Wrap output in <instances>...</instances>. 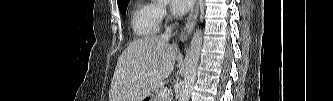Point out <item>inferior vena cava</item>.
Here are the masks:
<instances>
[{
  "instance_id": "inferior-vena-cava-1",
  "label": "inferior vena cava",
  "mask_w": 333,
  "mask_h": 101,
  "mask_svg": "<svg viewBox=\"0 0 333 101\" xmlns=\"http://www.w3.org/2000/svg\"><path fill=\"white\" fill-rule=\"evenodd\" d=\"M173 26H168L165 32L161 35L162 39H169L172 33Z\"/></svg>"
}]
</instances>
